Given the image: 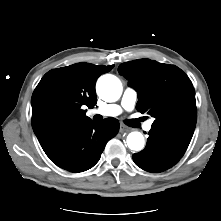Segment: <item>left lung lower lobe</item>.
Listing matches in <instances>:
<instances>
[{"label": "left lung lower lobe", "mask_w": 221, "mask_h": 221, "mask_svg": "<svg viewBox=\"0 0 221 221\" xmlns=\"http://www.w3.org/2000/svg\"><path fill=\"white\" fill-rule=\"evenodd\" d=\"M189 143L165 132L151 129L146 147L133 154L137 166L148 172H162L174 166L184 155Z\"/></svg>", "instance_id": "1"}]
</instances>
